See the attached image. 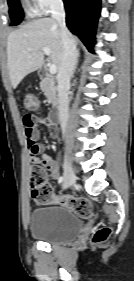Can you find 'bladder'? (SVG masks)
<instances>
[{"mask_svg": "<svg viewBox=\"0 0 134 281\" xmlns=\"http://www.w3.org/2000/svg\"><path fill=\"white\" fill-rule=\"evenodd\" d=\"M84 229L82 218L65 206H47L31 212L29 230L37 240L60 244L76 239Z\"/></svg>", "mask_w": 134, "mask_h": 281, "instance_id": "obj_1", "label": "bladder"}]
</instances>
